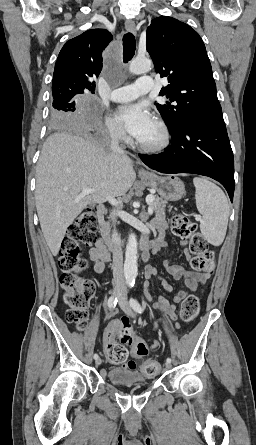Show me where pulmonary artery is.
<instances>
[{
	"mask_svg": "<svg viewBox=\"0 0 256 445\" xmlns=\"http://www.w3.org/2000/svg\"><path fill=\"white\" fill-rule=\"evenodd\" d=\"M154 87L153 78L143 76L137 79L132 85L123 86L112 91L110 99L113 102L124 103L129 102L140 95L150 92Z\"/></svg>",
	"mask_w": 256,
	"mask_h": 445,
	"instance_id": "obj_1",
	"label": "pulmonary artery"
}]
</instances>
